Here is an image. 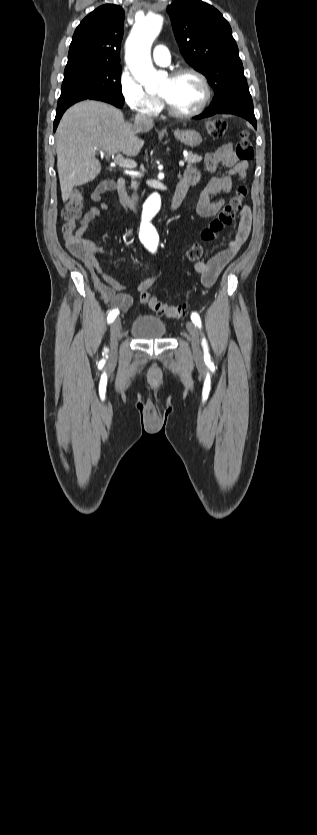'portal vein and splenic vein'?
Wrapping results in <instances>:
<instances>
[{
    "label": "portal vein and splenic vein",
    "mask_w": 317,
    "mask_h": 835,
    "mask_svg": "<svg viewBox=\"0 0 317 835\" xmlns=\"http://www.w3.org/2000/svg\"><path fill=\"white\" fill-rule=\"evenodd\" d=\"M114 163H116L118 166H120V167H122V168H133V167L137 166V164H136V162H135V161H133V160H129V159H125V158H123L120 154H118V155L115 157V159H114ZM179 166H180L181 168H183V167L185 166V162H184V161H180V162H179Z\"/></svg>",
    "instance_id": "obj_1"
}]
</instances>
